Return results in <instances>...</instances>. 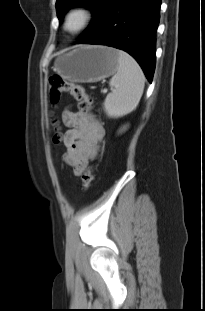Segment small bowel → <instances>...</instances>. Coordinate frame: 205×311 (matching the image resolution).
I'll return each instance as SVG.
<instances>
[{"mask_svg": "<svg viewBox=\"0 0 205 311\" xmlns=\"http://www.w3.org/2000/svg\"><path fill=\"white\" fill-rule=\"evenodd\" d=\"M62 119L68 128L63 137L66 151L62 159L75 175H80L88 162L98 156L105 131L99 121L82 110L66 109Z\"/></svg>", "mask_w": 205, "mask_h": 311, "instance_id": "1", "label": "small bowel"}]
</instances>
